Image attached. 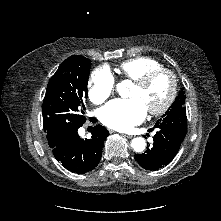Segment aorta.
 Returning <instances> with one entry per match:
<instances>
[{"label": "aorta", "instance_id": "1", "mask_svg": "<svg viewBox=\"0 0 221 221\" xmlns=\"http://www.w3.org/2000/svg\"><path fill=\"white\" fill-rule=\"evenodd\" d=\"M125 88V83L122 82V83H119L117 85V90L119 92L120 95H122V91L123 89ZM131 147L136 151V152H142L145 147H146V142H145V139L142 138V137H137V138H134L131 142Z\"/></svg>", "mask_w": 221, "mask_h": 221}]
</instances>
